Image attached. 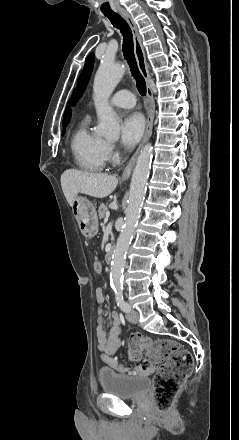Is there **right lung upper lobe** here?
I'll use <instances>...</instances> for the list:
<instances>
[{
    "label": "right lung upper lobe",
    "instance_id": "cb5924a9",
    "mask_svg": "<svg viewBox=\"0 0 239 440\" xmlns=\"http://www.w3.org/2000/svg\"><path fill=\"white\" fill-rule=\"evenodd\" d=\"M70 118H71V110L69 109V107H67L65 112H64V120H63V126L64 127L69 122Z\"/></svg>",
    "mask_w": 239,
    "mask_h": 440
}]
</instances>
